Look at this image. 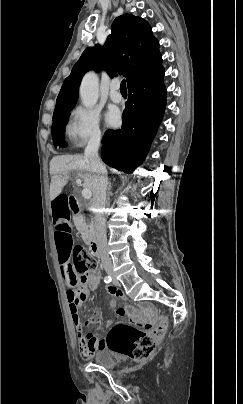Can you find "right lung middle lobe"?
I'll use <instances>...</instances> for the list:
<instances>
[{
	"mask_svg": "<svg viewBox=\"0 0 243 404\" xmlns=\"http://www.w3.org/2000/svg\"><path fill=\"white\" fill-rule=\"evenodd\" d=\"M73 109L67 108L60 110L53 115V124H52V138L54 146L64 147V133H65V125L67 119L69 117V112Z\"/></svg>",
	"mask_w": 243,
	"mask_h": 404,
	"instance_id": "1",
	"label": "right lung middle lobe"
}]
</instances>
